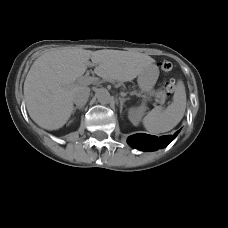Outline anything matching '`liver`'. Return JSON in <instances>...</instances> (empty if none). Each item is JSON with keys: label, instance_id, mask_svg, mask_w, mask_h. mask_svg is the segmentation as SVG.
I'll return each instance as SVG.
<instances>
[{"label": "liver", "instance_id": "obj_1", "mask_svg": "<svg viewBox=\"0 0 228 228\" xmlns=\"http://www.w3.org/2000/svg\"><path fill=\"white\" fill-rule=\"evenodd\" d=\"M91 59L92 63L89 61ZM155 62L142 53L84 49H62L40 56L24 82V98L32 120L46 130H57L73 111V94L86 84H74L88 66L106 81L129 82Z\"/></svg>", "mask_w": 228, "mask_h": 228}]
</instances>
